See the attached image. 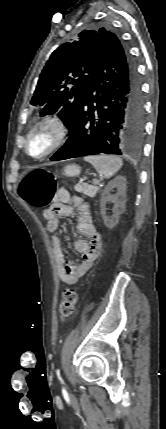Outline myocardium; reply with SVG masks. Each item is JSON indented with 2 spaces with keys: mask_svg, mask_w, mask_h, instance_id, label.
I'll use <instances>...</instances> for the list:
<instances>
[{
  "mask_svg": "<svg viewBox=\"0 0 166 429\" xmlns=\"http://www.w3.org/2000/svg\"><path fill=\"white\" fill-rule=\"evenodd\" d=\"M40 130H49L52 134V143L49 148L40 155H33L30 153L28 144L30 138ZM67 135V127L63 119L58 115H46L40 118L27 132L24 140V151L26 154L35 159L41 160L56 152L65 142Z\"/></svg>",
  "mask_w": 166,
  "mask_h": 429,
  "instance_id": "obj_1",
  "label": "myocardium"
}]
</instances>
